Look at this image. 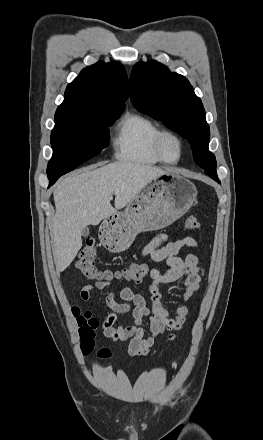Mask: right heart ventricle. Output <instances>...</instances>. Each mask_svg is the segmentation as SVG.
I'll return each instance as SVG.
<instances>
[{"label": "right heart ventricle", "mask_w": 263, "mask_h": 440, "mask_svg": "<svg viewBox=\"0 0 263 440\" xmlns=\"http://www.w3.org/2000/svg\"><path fill=\"white\" fill-rule=\"evenodd\" d=\"M160 126L151 118L135 112L126 113L119 121L113 140L118 160L142 164H158L154 139Z\"/></svg>", "instance_id": "obj_1"}]
</instances>
